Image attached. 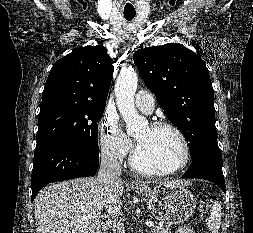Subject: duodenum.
I'll list each match as a JSON object with an SVG mask.
<instances>
[{"instance_id":"1","label":"duodenum","mask_w":253,"mask_h":233,"mask_svg":"<svg viewBox=\"0 0 253 233\" xmlns=\"http://www.w3.org/2000/svg\"><path fill=\"white\" fill-rule=\"evenodd\" d=\"M111 223V219L109 216H103L100 218V222L97 225V229L95 233H105Z\"/></svg>"}]
</instances>
